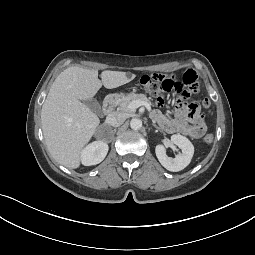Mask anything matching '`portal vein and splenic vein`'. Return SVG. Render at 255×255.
Returning a JSON list of instances; mask_svg holds the SVG:
<instances>
[{
  "label": "portal vein and splenic vein",
  "mask_w": 255,
  "mask_h": 255,
  "mask_svg": "<svg viewBox=\"0 0 255 255\" xmlns=\"http://www.w3.org/2000/svg\"><path fill=\"white\" fill-rule=\"evenodd\" d=\"M140 106H145L146 109H147L148 111L151 110V107H150V104H149V103L144 102V101H140V100L132 101V102L129 104L128 108H129L130 110H135V109H137V108L140 107Z\"/></svg>",
  "instance_id": "1"
}]
</instances>
